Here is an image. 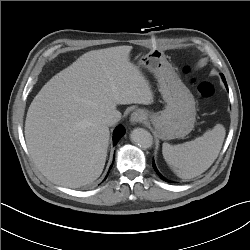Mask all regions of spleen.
<instances>
[{"mask_svg":"<svg viewBox=\"0 0 250 250\" xmlns=\"http://www.w3.org/2000/svg\"><path fill=\"white\" fill-rule=\"evenodd\" d=\"M225 134L224 126L217 124L192 141L178 145L163 143V157L178 177L194 178L205 172L216 160Z\"/></svg>","mask_w":250,"mask_h":250,"instance_id":"3e777b00","label":"spleen"}]
</instances>
